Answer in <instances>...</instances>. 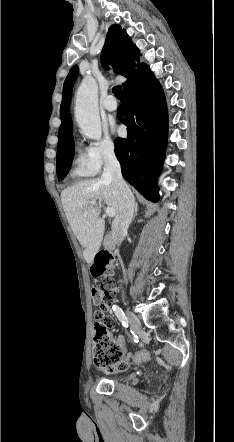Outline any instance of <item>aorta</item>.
I'll return each instance as SVG.
<instances>
[{
	"label": "aorta",
	"mask_w": 234,
	"mask_h": 442,
	"mask_svg": "<svg viewBox=\"0 0 234 442\" xmlns=\"http://www.w3.org/2000/svg\"><path fill=\"white\" fill-rule=\"evenodd\" d=\"M75 117L82 133L90 138H101V121L98 111V86L94 79L85 78L76 95Z\"/></svg>",
	"instance_id": "1"
}]
</instances>
